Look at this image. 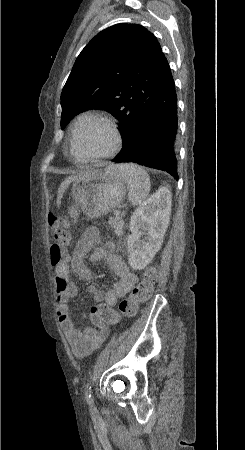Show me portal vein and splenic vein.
<instances>
[{
    "label": "portal vein and splenic vein",
    "mask_w": 245,
    "mask_h": 450,
    "mask_svg": "<svg viewBox=\"0 0 245 450\" xmlns=\"http://www.w3.org/2000/svg\"><path fill=\"white\" fill-rule=\"evenodd\" d=\"M120 214V212H116V214L115 215H119Z\"/></svg>",
    "instance_id": "obj_1"
}]
</instances>
